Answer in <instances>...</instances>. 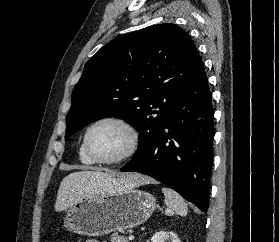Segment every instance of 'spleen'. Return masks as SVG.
<instances>
[{
    "mask_svg": "<svg viewBox=\"0 0 279 242\" xmlns=\"http://www.w3.org/2000/svg\"><path fill=\"white\" fill-rule=\"evenodd\" d=\"M162 192L165 195V205L167 215H187L188 208L184 199L174 190L163 187Z\"/></svg>",
    "mask_w": 279,
    "mask_h": 242,
    "instance_id": "spleen-1",
    "label": "spleen"
}]
</instances>
